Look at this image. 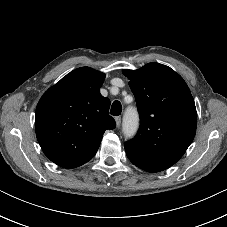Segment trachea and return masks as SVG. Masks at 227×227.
<instances>
[{"mask_svg": "<svg viewBox=\"0 0 227 227\" xmlns=\"http://www.w3.org/2000/svg\"><path fill=\"white\" fill-rule=\"evenodd\" d=\"M121 111H122L121 103L117 100L114 101L111 107L110 114L113 116H119L121 114Z\"/></svg>", "mask_w": 227, "mask_h": 227, "instance_id": "trachea-1", "label": "trachea"}]
</instances>
